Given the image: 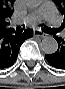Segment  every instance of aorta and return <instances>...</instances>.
<instances>
[{"label": "aorta", "instance_id": "1", "mask_svg": "<svg viewBox=\"0 0 65 89\" xmlns=\"http://www.w3.org/2000/svg\"><path fill=\"white\" fill-rule=\"evenodd\" d=\"M37 1L30 2L31 6H36ZM41 50L46 54H54L58 49V43L53 37H44L40 43Z\"/></svg>", "mask_w": 65, "mask_h": 89}]
</instances>
